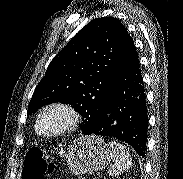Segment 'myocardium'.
<instances>
[{"label":"myocardium","instance_id":"1","mask_svg":"<svg viewBox=\"0 0 183 179\" xmlns=\"http://www.w3.org/2000/svg\"><path fill=\"white\" fill-rule=\"evenodd\" d=\"M53 109L63 111L67 115L68 121L62 128L56 131L44 132L41 129V125H40L41 119L47 111L53 110ZM80 120H81L80 113L74 105L67 102L58 101V102L49 103L40 110L36 119L35 129L37 133L43 137H56V136L67 134L73 131L74 129H76L80 123Z\"/></svg>","mask_w":183,"mask_h":179}]
</instances>
